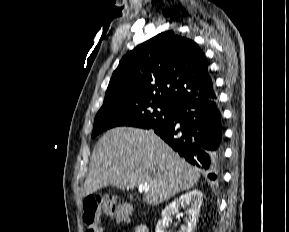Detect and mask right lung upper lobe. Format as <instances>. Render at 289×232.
I'll return each instance as SVG.
<instances>
[{"instance_id":"obj_1","label":"right lung upper lobe","mask_w":289,"mask_h":232,"mask_svg":"<svg viewBox=\"0 0 289 232\" xmlns=\"http://www.w3.org/2000/svg\"><path fill=\"white\" fill-rule=\"evenodd\" d=\"M216 96L205 54L195 42L173 31L160 33L127 53L105 93V99L139 97L173 108Z\"/></svg>"}]
</instances>
